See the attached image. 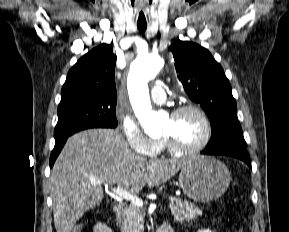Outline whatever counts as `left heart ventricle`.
I'll return each instance as SVG.
<instances>
[{"instance_id":"1","label":"left heart ventricle","mask_w":289,"mask_h":232,"mask_svg":"<svg viewBox=\"0 0 289 232\" xmlns=\"http://www.w3.org/2000/svg\"><path fill=\"white\" fill-rule=\"evenodd\" d=\"M205 133L204 124L199 115L187 111L178 117L169 116L163 127V137H167L182 146L199 143Z\"/></svg>"}]
</instances>
